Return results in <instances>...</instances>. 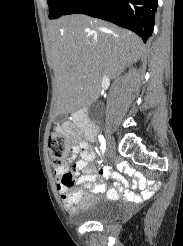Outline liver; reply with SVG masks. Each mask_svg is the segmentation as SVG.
<instances>
[{"mask_svg": "<svg viewBox=\"0 0 183 246\" xmlns=\"http://www.w3.org/2000/svg\"><path fill=\"white\" fill-rule=\"evenodd\" d=\"M49 51L55 76L57 109L69 113L111 79L140 60L144 44L131 31L86 15H70L49 24Z\"/></svg>", "mask_w": 183, "mask_h": 246, "instance_id": "liver-1", "label": "liver"}]
</instances>
